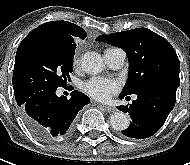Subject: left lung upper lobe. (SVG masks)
<instances>
[{
	"label": "left lung upper lobe",
	"mask_w": 190,
	"mask_h": 165,
	"mask_svg": "<svg viewBox=\"0 0 190 165\" xmlns=\"http://www.w3.org/2000/svg\"><path fill=\"white\" fill-rule=\"evenodd\" d=\"M97 41L118 46L129 59V76L120 95L155 83L179 86L180 63L174 48L162 36L147 28H137L109 35H100Z\"/></svg>",
	"instance_id": "1"
}]
</instances>
